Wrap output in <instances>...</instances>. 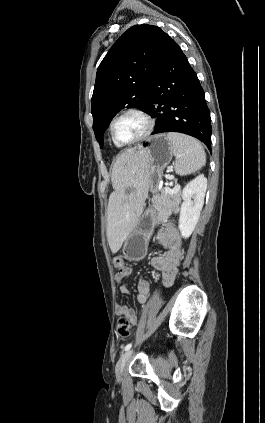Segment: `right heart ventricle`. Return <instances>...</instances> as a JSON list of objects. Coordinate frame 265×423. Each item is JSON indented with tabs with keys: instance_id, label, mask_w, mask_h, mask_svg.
I'll return each instance as SVG.
<instances>
[{
	"instance_id": "e07e8e85",
	"label": "right heart ventricle",
	"mask_w": 265,
	"mask_h": 423,
	"mask_svg": "<svg viewBox=\"0 0 265 423\" xmlns=\"http://www.w3.org/2000/svg\"><path fill=\"white\" fill-rule=\"evenodd\" d=\"M115 145H116L117 147H121L120 145H117L116 143H115Z\"/></svg>"
}]
</instances>
